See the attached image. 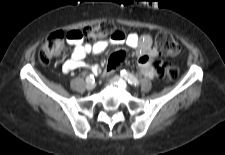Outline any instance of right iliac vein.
<instances>
[{
  "label": "right iliac vein",
  "mask_w": 225,
  "mask_h": 155,
  "mask_svg": "<svg viewBox=\"0 0 225 155\" xmlns=\"http://www.w3.org/2000/svg\"><path fill=\"white\" fill-rule=\"evenodd\" d=\"M94 83L93 82H87V84H86V88H87V90H92L93 88H94Z\"/></svg>",
  "instance_id": "1"
}]
</instances>
